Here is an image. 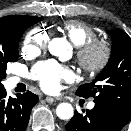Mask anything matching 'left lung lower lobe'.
Wrapping results in <instances>:
<instances>
[{
    "label": "left lung lower lobe",
    "instance_id": "obj_1",
    "mask_svg": "<svg viewBox=\"0 0 131 131\" xmlns=\"http://www.w3.org/2000/svg\"><path fill=\"white\" fill-rule=\"evenodd\" d=\"M126 124L108 108L95 103L85 115L75 111L65 128L67 131H120Z\"/></svg>",
    "mask_w": 131,
    "mask_h": 131
}]
</instances>
